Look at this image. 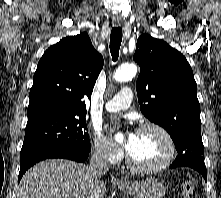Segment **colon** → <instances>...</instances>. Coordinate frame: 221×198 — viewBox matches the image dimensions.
<instances>
[{
    "mask_svg": "<svg viewBox=\"0 0 221 198\" xmlns=\"http://www.w3.org/2000/svg\"><path fill=\"white\" fill-rule=\"evenodd\" d=\"M183 198H193L196 194V188L192 181H186L181 186Z\"/></svg>",
    "mask_w": 221,
    "mask_h": 198,
    "instance_id": "obj_1",
    "label": "colon"
}]
</instances>
